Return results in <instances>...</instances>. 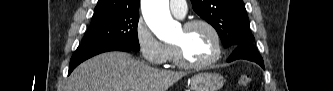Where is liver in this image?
I'll list each match as a JSON object with an SVG mask.
<instances>
[{
	"instance_id": "obj_1",
	"label": "liver",
	"mask_w": 333,
	"mask_h": 91,
	"mask_svg": "<svg viewBox=\"0 0 333 91\" xmlns=\"http://www.w3.org/2000/svg\"><path fill=\"white\" fill-rule=\"evenodd\" d=\"M184 75L124 52H108L80 64L68 78L67 91H167Z\"/></svg>"
}]
</instances>
